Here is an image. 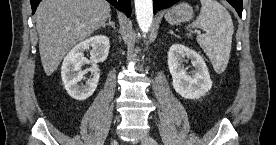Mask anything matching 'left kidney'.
Masks as SVG:
<instances>
[{"label": "left kidney", "mask_w": 276, "mask_h": 145, "mask_svg": "<svg viewBox=\"0 0 276 145\" xmlns=\"http://www.w3.org/2000/svg\"><path fill=\"white\" fill-rule=\"evenodd\" d=\"M192 62L194 70L188 73L183 66L185 59ZM168 67L175 91L185 99H198L212 87L209 71L203 58L183 44H174L168 51Z\"/></svg>", "instance_id": "1"}]
</instances>
